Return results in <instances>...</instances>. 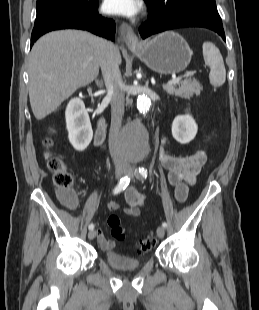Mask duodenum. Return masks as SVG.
I'll list each match as a JSON object with an SVG mask.
<instances>
[{"instance_id":"1","label":"duodenum","mask_w":259,"mask_h":310,"mask_svg":"<svg viewBox=\"0 0 259 310\" xmlns=\"http://www.w3.org/2000/svg\"><path fill=\"white\" fill-rule=\"evenodd\" d=\"M105 136V123L103 120H100L97 124L96 134H95V143L100 145Z\"/></svg>"}]
</instances>
